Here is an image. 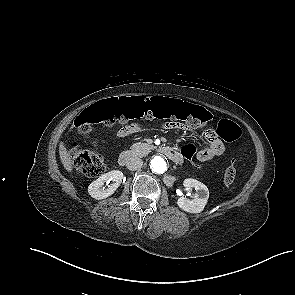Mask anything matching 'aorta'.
Masks as SVG:
<instances>
[{
	"instance_id": "762f6f07",
	"label": "aorta",
	"mask_w": 295,
	"mask_h": 295,
	"mask_svg": "<svg viewBox=\"0 0 295 295\" xmlns=\"http://www.w3.org/2000/svg\"><path fill=\"white\" fill-rule=\"evenodd\" d=\"M150 168L156 174H163L167 171L168 166L162 156H154L150 161Z\"/></svg>"
}]
</instances>
